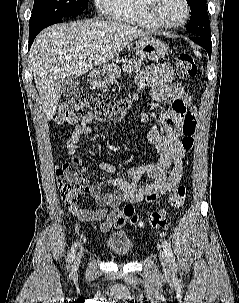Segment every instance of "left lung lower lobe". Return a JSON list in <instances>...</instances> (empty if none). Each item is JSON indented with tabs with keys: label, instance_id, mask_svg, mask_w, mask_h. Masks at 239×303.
I'll return each instance as SVG.
<instances>
[{
	"label": "left lung lower lobe",
	"instance_id": "obj_1",
	"mask_svg": "<svg viewBox=\"0 0 239 303\" xmlns=\"http://www.w3.org/2000/svg\"><path fill=\"white\" fill-rule=\"evenodd\" d=\"M190 39L192 41H194L195 43L199 44L201 47H203L209 57H211V53H212V42H211V37L208 36H192L190 37Z\"/></svg>",
	"mask_w": 239,
	"mask_h": 303
}]
</instances>
